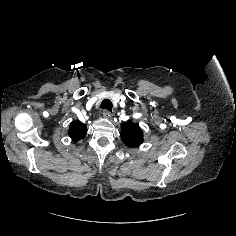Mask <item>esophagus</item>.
Masks as SVG:
<instances>
[{
    "label": "esophagus",
    "mask_w": 236,
    "mask_h": 236,
    "mask_svg": "<svg viewBox=\"0 0 236 236\" xmlns=\"http://www.w3.org/2000/svg\"><path fill=\"white\" fill-rule=\"evenodd\" d=\"M102 114L106 119H111L112 118V113L108 110H104Z\"/></svg>",
    "instance_id": "1"
}]
</instances>
